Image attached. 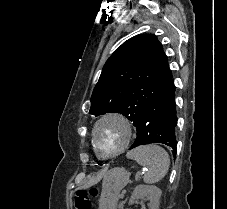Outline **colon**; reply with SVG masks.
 <instances>
[{
	"mask_svg": "<svg viewBox=\"0 0 227 209\" xmlns=\"http://www.w3.org/2000/svg\"><path fill=\"white\" fill-rule=\"evenodd\" d=\"M94 189H79L74 196V209H92V197Z\"/></svg>",
	"mask_w": 227,
	"mask_h": 209,
	"instance_id": "colon-1",
	"label": "colon"
}]
</instances>
